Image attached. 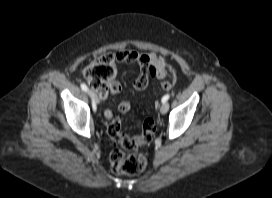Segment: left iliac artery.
<instances>
[{
	"label": "left iliac artery",
	"mask_w": 272,
	"mask_h": 198,
	"mask_svg": "<svg viewBox=\"0 0 272 198\" xmlns=\"http://www.w3.org/2000/svg\"><path fill=\"white\" fill-rule=\"evenodd\" d=\"M169 98H170V94L164 95L163 98H162V103L167 102L169 100Z\"/></svg>",
	"instance_id": "1"
}]
</instances>
